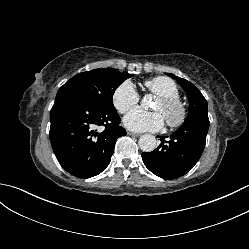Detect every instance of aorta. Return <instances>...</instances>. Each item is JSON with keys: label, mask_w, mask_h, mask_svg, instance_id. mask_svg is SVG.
<instances>
[{"label": "aorta", "mask_w": 249, "mask_h": 249, "mask_svg": "<svg viewBox=\"0 0 249 249\" xmlns=\"http://www.w3.org/2000/svg\"><path fill=\"white\" fill-rule=\"evenodd\" d=\"M149 97L146 96L143 98L142 103L143 105H147ZM139 147L144 152H151L156 148V138L150 134H144L139 138Z\"/></svg>", "instance_id": "aorta-1"}]
</instances>
